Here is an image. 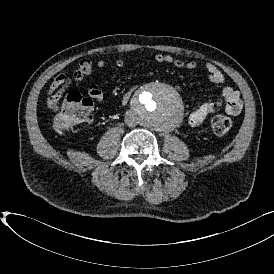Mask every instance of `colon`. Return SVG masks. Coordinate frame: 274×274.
I'll return each instance as SVG.
<instances>
[{
    "instance_id": "5ec220e1",
    "label": "colon",
    "mask_w": 274,
    "mask_h": 274,
    "mask_svg": "<svg viewBox=\"0 0 274 274\" xmlns=\"http://www.w3.org/2000/svg\"><path fill=\"white\" fill-rule=\"evenodd\" d=\"M48 106V105H47ZM55 110L60 108L59 113L53 120V129L56 132L64 133L76 124L89 123L93 117V103L76 92L59 97L57 104L48 106ZM232 128V122L228 116L215 115L211 119V130L217 136L227 134Z\"/></svg>"
}]
</instances>
